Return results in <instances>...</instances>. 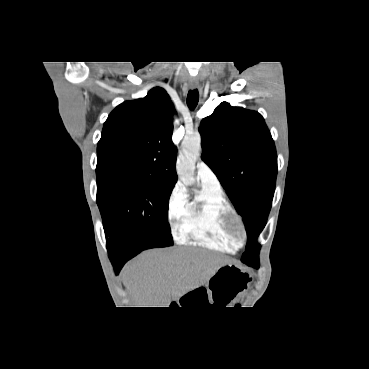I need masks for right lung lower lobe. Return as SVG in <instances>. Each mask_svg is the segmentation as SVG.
<instances>
[{"label": "right lung lower lobe", "instance_id": "obj_1", "mask_svg": "<svg viewBox=\"0 0 369 369\" xmlns=\"http://www.w3.org/2000/svg\"><path fill=\"white\" fill-rule=\"evenodd\" d=\"M109 258L114 266L115 272L118 273L124 263L130 258L137 255L138 251H134L131 247L121 245L114 248H108Z\"/></svg>", "mask_w": 369, "mask_h": 369}]
</instances>
